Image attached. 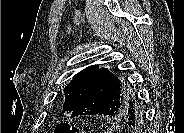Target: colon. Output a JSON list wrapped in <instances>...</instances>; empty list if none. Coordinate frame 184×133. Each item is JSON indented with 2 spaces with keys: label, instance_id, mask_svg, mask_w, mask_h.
<instances>
[{
  "label": "colon",
  "instance_id": "1",
  "mask_svg": "<svg viewBox=\"0 0 184 133\" xmlns=\"http://www.w3.org/2000/svg\"><path fill=\"white\" fill-rule=\"evenodd\" d=\"M80 129L69 123H60L55 127L54 133H80Z\"/></svg>",
  "mask_w": 184,
  "mask_h": 133
}]
</instances>
